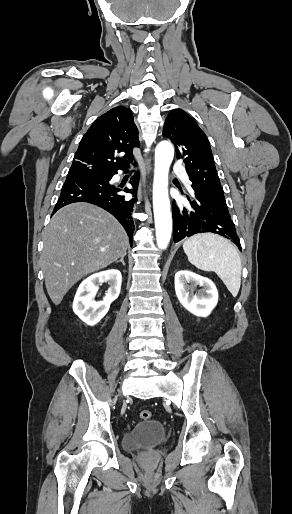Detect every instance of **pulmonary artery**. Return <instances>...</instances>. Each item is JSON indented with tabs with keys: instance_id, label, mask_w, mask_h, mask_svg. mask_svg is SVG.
I'll use <instances>...</instances> for the list:
<instances>
[{
	"instance_id": "pulmonary-artery-1",
	"label": "pulmonary artery",
	"mask_w": 292,
	"mask_h": 514,
	"mask_svg": "<svg viewBox=\"0 0 292 514\" xmlns=\"http://www.w3.org/2000/svg\"><path fill=\"white\" fill-rule=\"evenodd\" d=\"M185 182H186L187 185L191 184V181H190V179H189V177L187 175L185 176Z\"/></svg>"
}]
</instances>
